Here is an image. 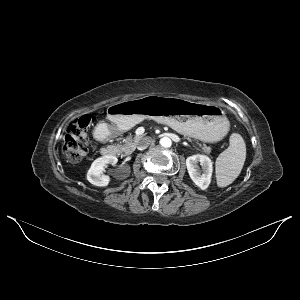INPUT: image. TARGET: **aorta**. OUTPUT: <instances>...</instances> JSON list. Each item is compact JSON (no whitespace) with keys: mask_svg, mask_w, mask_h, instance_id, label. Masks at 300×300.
<instances>
[{"mask_svg":"<svg viewBox=\"0 0 300 300\" xmlns=\"http://www.w3.org/2000/svg\"><path fill=\"white\" fill-rule=\"evenodd\" d=\"M160 145L164 148H169L172 145V141L169 137H163L160 139Z\"/></svg>","mask_w":300,"mask_h":300,"instance_id":"obj_1","label":"aorta"}]
</instances>
